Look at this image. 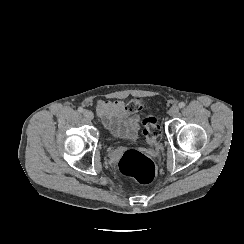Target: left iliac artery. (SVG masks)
Masks as SVG:
<instances>
[{"instance_id":"1","label":"left iliac artery","mask_w":244,"mask_h":244,"mask_svg":"<svg viewBox=\"0 0 244 244\" xmlns=\"http://www.w3.org/2000/svg\"><path fill=\"white\" fill-rule=\"evenodd\" d=\"M178 106H179L180 108H184V107H185V103H184V102H180V103L178 104Z\"/></svg>"}]
</instances>
